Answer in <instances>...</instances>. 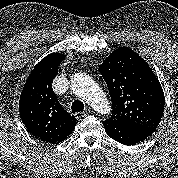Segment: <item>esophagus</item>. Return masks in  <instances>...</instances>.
<instances>
[{
    "label": "esophagus",
    "mask_w": 178,
    "mask_h": 178,
    "mask_svg": "<svg viewBox=\"0 0 178 178\" xmlns=\"http://www.w3.org/2000/svg\"><path fill=\"white\" fill-rule=\"evenodd\" d=\"M89 113H90V110H85L84 112H77L75 114V116H76L77 119H80L82 117L87 116Z\"/></svg>",
    "instance_id": "obj_1"
}]
</instances>
